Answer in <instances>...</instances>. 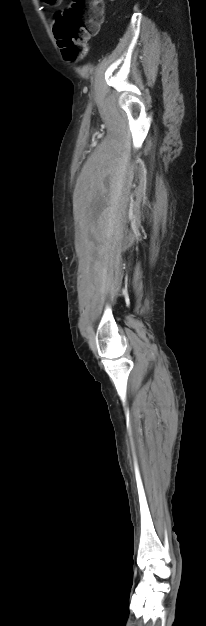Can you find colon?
I'll use <instances>...</instances> for the list:
<instances>
[{
    "label": "colon",
    "instance_id": "colon-1",
    "mask_svg": "<svg viewBox=\"0 0 206 626\" xmlns=\"http://www.w3.org/2000/svg\"><path fill=\"white\" fill-rule=\"evenodd\" d=\"M61 0H45L57 5ZM103 21L102 0H71L68 7L54 16L53 32L68 61L79 60L85 51V44L96 34Z\"/></svg>",
    "mask_w": 206,
    "mask_h": 626
}]
</instances>
